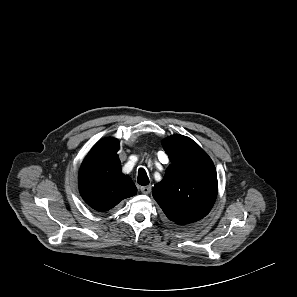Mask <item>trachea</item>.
I'll use <instances>...</instances> for the list:
<instances>
[{
	"mask_svg": "<svg viewBox=\"0 0 297 297\" xmlns=\"http://www.w3.org/2000/svg\"><path fill=\"white\" fill-rule=\"evenodd\" d=\"M137 181L141 186H147L149 184V178L144 168L139 169Z\"/></svg>",
	"mask_w": 297,
	"mask_h": 297,
	"instance_id": "1",
	"label": "trachea"
}]
</instances>
